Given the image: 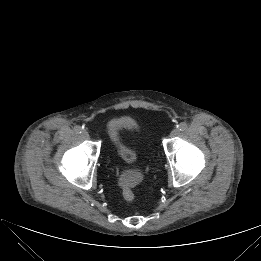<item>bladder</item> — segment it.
Masks as SVG:
<instances>
[{"label":"bladder","instance_id":"obj_1","mask_svg":"<svg viewBox=\"0 0 261 261\" xmlns=\"http://www.w3.org/2000/svg\"><path fill=\"white\" fill-rule=\"evenodd\" d=\"M139 131V125L130 117H120L109 125V133L113 143L114 152L118 160L125 165H134L140 159V152L132 140L126 135H134Z\"/></svg>","mask_w":261,"mask_h":261}]
</instances>
